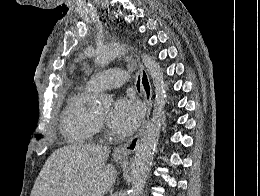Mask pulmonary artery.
I'll list each match as a JSON object with an SVG mask.
<instances>
[{
  "label": "pulmonary artery",
  "instance_id": "e3ab8cb5",
  "mask_svg": "<svg viewBox=\"0 0 260 196\" xmlns=\"http://www.w3.org/2000/svg\"><path fill=\"white\" fill-rule=\"evenodd\" d=\"M124 69H106L105 72H100L98 79L91 80V87L97 92L104 90H115V85L109 84H124Z\"/></svg>",
  "mask_w": 260,
  "mask_h": 196
}]
</instances>
